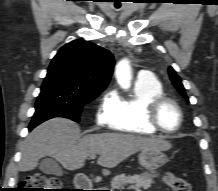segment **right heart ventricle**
Returning a JSON list of instances; mask_svg holds the SVG:
<instances>
[{
  "label": "right heart ventricle",
  "instance_id": "obj_1",
  "mask_svg": "<svg viewBox=\"0 0 218 191\" xmlns=\"http://www.w3.org/2000/svg\"><path fill=\"white\" fill-rule=\"evenodd\" d=\"M163 95V86L157 79L137 80L134 84L133 95L120 98L110 127L128 134L153 135L157 133L146 121V108L152 99Z\"/></svg>",
  "mask_w": 218,
  "mask_h": 191
}]
</instances>
